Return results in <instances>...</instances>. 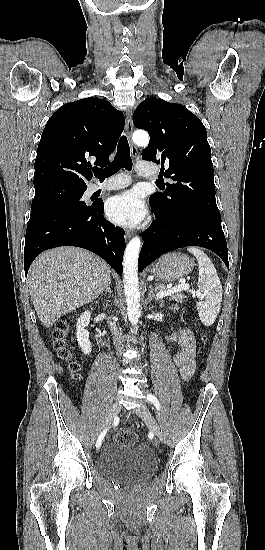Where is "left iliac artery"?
Masks as SVG:
<instances>
[{"mask_svg":"<svg viewBox=\"0 0 265 550\" xmlns=\"http://www.w3.org/2000/svg\"><path fill=\"white\" fill-rule=\"evenodd\" d=\"M147 400H148L149 402L153 403L157 410H160V403H159L158 399H157L154 395L149 394V395L147 396Z\"/></svg>","mask_w":265,"mask_h":550,"instance_id":"1","label":"left iliac artery"}]
</instances>
